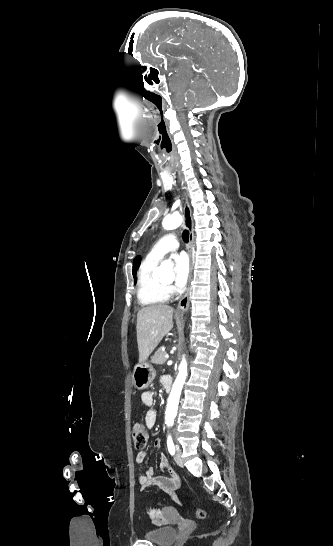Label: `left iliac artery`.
Returning a JSON list of instances; mask_svg holds the SVG:
<instances>
[{
  "instance_id": "left-iliac-artery-1",
  "label": "left iliac artery",
  "mask_w": 333,
  "mask_h": 546,
  "mask_svg": "<svg viewBox=\"0 0 333 546\" xmlns=\"http://www.w3.org/2000/svg\"><path fill=\"white\" fill-rule=\"evenodd\" d=\"M167 448H168V451L171 455H174L175 454V446H174V443H173V440H172V437L170 434H168L167 436Z\"/></svg>"
}]
</instances>
